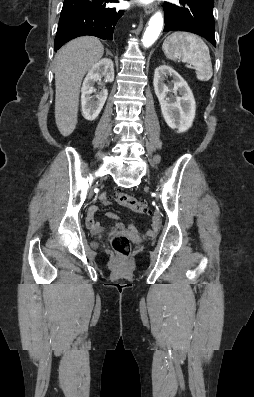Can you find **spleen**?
Returning a JSON list of instances; mask_svg holds the SVG:
<instances>
[{"label": "spleen", "mask_w": 254, "mask_h": 397, "mask_svg": "<svg viewBox=\"0 0 254 397\" xmlns=\"http://www.w3.org/2000/svg\"><path fill=\"white\" fill-rule=\"evenodd\" d=\"M167 58L190 63L196 70L197 79L208 81L213 75L210 52L205 42L195 34L176 31L162 45Z\"/></svg>", "instance_id": "spleen-1"}]
</instances>
